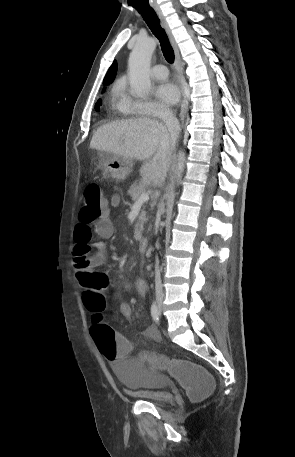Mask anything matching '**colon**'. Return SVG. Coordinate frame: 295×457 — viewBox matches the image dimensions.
I'll return each instance as SVG.
<instances>
[{
  "label": "colon",
  "instance_id": "5ec220e1",
  "mask_svg": "<svg viewBox=\"0 0 295 457\" xmlns=\"http://www.w3.org/2000/svg\"><path fill=\"white\" fill-rule=\"evenodd\" d=\"M109 212L108 203L102 195L98 184H89L84 193V201L79 211V221L82 224L92 225ZM87 246H78L74 251L73 264L82 269L87 265ZM110 288V279L99 272H87V290L83 293L86 308L93 314L91 334L98 347V353L102 359L114 362L126 363L127 355L131 354L132 342L126 341L124 330H113L101 316L105 307V298L102 291ZM145 359H150L146 366L148 372H155L157 359L162 358L161 352H145ZM176 363L173 368V377H181L180 390H187L188 397L193 401H199L208 396L213 390L212 374L207 369H201L200 363H184L183 358L170 360Z\"/></svg>",
  "mask_w": 295,
  "mask_h": 457
}]
</instances>
